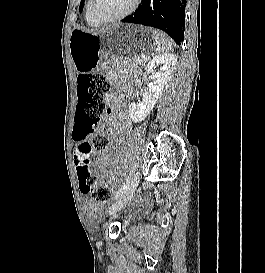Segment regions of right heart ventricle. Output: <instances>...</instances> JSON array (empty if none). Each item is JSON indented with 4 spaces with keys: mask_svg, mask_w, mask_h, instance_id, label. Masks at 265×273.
Segmentation results:
<instances>
[{
    "mask_svg": "<svg viewBox=\"0 0 265 273\" xmlns=\"http://www.w3.org/2000/svg\"><path fill=\"white\" fill-rule=\"evenodd\" d=\"M88 6H89V0H87L86 2V6H85V21L86 23L91 26V27H97L100 24L98 22H96L89 14L88 12Z\"/></svg>",
    "mask_w": 265,
    "mask_h": 273,
    "instance_id": "right-heart-ventricle-1",
    "label": "right heart ventricle"
}]
</instances>
